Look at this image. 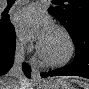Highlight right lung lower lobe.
I'll list each match as a JSON object with an SVG mask.
<instances>
[{"instance_id": "98d812e1", "label": "right lung lower lobe", "mask_w": 89, "mask_h": 89, "mask_svg": "<svg viewBox=\"0 0 89 89\" xmlns=\"http://www.w3.org/2000/svg\"><path fill=\"white\" fill-rule=\"evenodd\" d=\"M15 43L14 26L6 19V23L0 26V75L7 73L13 64ZM23 71L30 77L31 68L26 63L23 64Z\"/></svg>"}]
</instances>
